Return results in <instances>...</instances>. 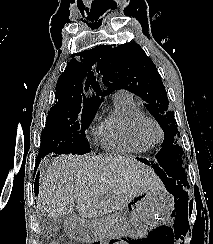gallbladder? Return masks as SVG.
Returning <instances> with one entry per match:
<instances>
[{
  "label": "gallbladder",
  "mask_w": 213,
  "mask_h": 244,
  "mask_svg": "<svg viewBox=\"0 0 213 244\" xmlns=\"http://www.w3.org/2000/svg\"><path fill=\"white\" fill-rule=\"evenodd\" d=\"M61 224V218L42 217L39 220V225L42 229V232L47 236H55L59 232Z\"/></svg>",
  "instance_id": "obj_1"
}]
</instances>
